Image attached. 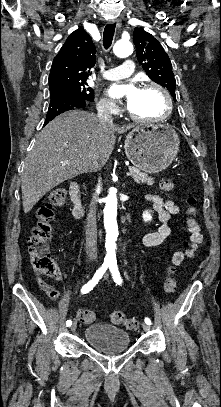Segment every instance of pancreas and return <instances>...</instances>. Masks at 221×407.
I'll use <instances>...</instances> for the list:
<instances>
[{
    "mask_svg": "<svg viewBox=\"0 0 221 407\" xmlns=\"http://www.w3.org/2000/svg\"><path fill=\"white\" fill-rule=\"evenodd\" d=\"M129 171L132 172L131 177L134 179L135 182L146 183L149 186L153 185V183H154L153 178L148 176L147 173L141 172L136 167H129Z\"/></svg>",
    "mask_w": 221,
    "mask_h": 407,
    "instance_id": "pancreas-1",
    "label": "pancreas"
}]
</instances>
